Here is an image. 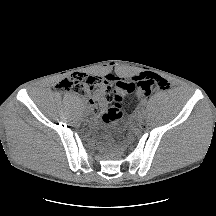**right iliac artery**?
I'll use <instances>...</instances> for the list:
<instances>
[{
    "label": "right iliac artery",
    "mask_w": 216,
    "mask_h": 216,
    "mask_svg": "<svg viewBox=\"0 0 216 216\" xmlns=\"http://www.w3.org/2000/svg\"><path fill=\"white\" fill-rule=\"evenodd\" d=\"M80 109L87 110V105H85V103H80Z\"/></svg>",
    "instance_id": "obj_1"
}]
</instances>
